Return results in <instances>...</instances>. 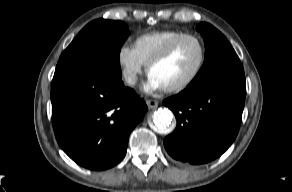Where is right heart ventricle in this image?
Masks as SVG:
<instances>
[{
	"instance_id": "right-heart-ventricle-1",
	"label": "right heart ventricle",
	"mask_w": 292,
	"mask_h": 192,
	"mask_svg": "<svg viewBox=\"0 0 292 192\" xmlns=\"http://www.w3.org/2000/svg\"><path fill=\"white\" fill-rule=\"evenodd\" d=\"M185 34L180 30L164 29L147 32L136 37L134 48L144 64L160 53L175 38Z\"/></svg>"
}]
</instances>
